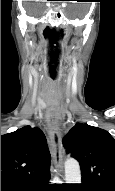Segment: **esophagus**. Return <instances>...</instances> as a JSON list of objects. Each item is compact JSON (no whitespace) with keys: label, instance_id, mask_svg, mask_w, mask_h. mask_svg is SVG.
Returning a JSON list of instances; mask_svg holds the SVG:
<instances>
[{"label":"esophagus","instance_id":"esophagus-1","mask_svg":"<svg viewBox=\"0 0 115 191\" xmlns=\"http://www.w3.org/2000/svg\"><path fill=\"white\" fill-rule=\"evenodd\" d=\"M49 135L52 143V155L53 161L59 171L63 168V155H62V145L60 132L58 130V125L53 118L49 121Z\"/></svg>","mask_w":115,"mask_h":191}]
</instances>
